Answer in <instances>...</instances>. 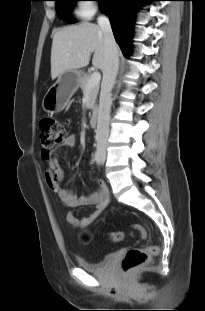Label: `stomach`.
I'll use <instances>...</instances> for the list:
<instances>
[{
  "mask_svg": "<svg viewBox=\"0 0 205 311\" xmlns=\"http://www.w3.org/2000/svg\"><path fill=\"white\" fill-rule=\"evenodd\" d=\"M81 77V72L77 70L61 73L43 98L42 107L44 111L55 113L63 110L78 90Z\"/></svg>",
  "mask_w": 205,
  "mask_h": 311,
  "instance_id": "stomach-1",
  "label": "stomach"
}]
</instances>
